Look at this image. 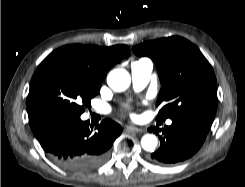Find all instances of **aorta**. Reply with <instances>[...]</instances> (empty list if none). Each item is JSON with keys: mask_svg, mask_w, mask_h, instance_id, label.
Instances as JSON below:
<instances>
[{"mask_svg": "<svg viewBox=\"0 0 245 187\" xmlns=\"http://www.w3.org/2000/svg\"><path fill=\"white\" fill-rule=\"evenodd\" d=\"M107 83L111 89L116 92H122L126 90L131 83L129 73L124 69L112 70L108 77ZM158 144V140L155 135L146 134L141 139V145L144 150L153 152Z\"/></svg>", "mask_w": 245, "mask_h": 187, "instance_id": "obj_1", "label": "aorta"}]
</instances>
